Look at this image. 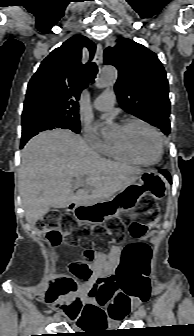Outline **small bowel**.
Instances as JSON below:
<instances>
[{"instance_id": "1", "label": "small bowel", "mask_w": 194, "mask_h": 336, "mask_svg": "<svg viewBox=\"0 0 194 336\" xmlns=\"http://www.w3.org/2000/svg\"><path fill=\"white\" fill-rule=\"evenodd\" d=\"M124 249L120 245H113L107 253L99 255L93 261L91 276L78 289V294L85 302L84 310L77 320L79 327L84 329L89 323L97 324L109 321L112 315L113 297L103 284L114 279L113 275L121 262ZM147 266V271L139 272L136 278L137 286L144 290L148 289L146 280L149 273V259Z\"/></svg>"}]
</instances>
